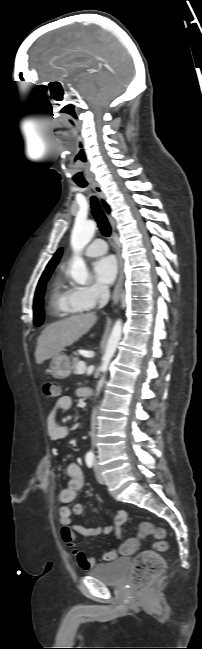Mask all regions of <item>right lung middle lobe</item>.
<instances>
[{
	"instance_id": "right-lung-middle-lobe-1",
	"label": "right lung middle lobe",
	"mask_w": 202,
	"mask_h": 649,
	"mask_svg": "<svg viewBox=\"0 0 202 649\" xmlns=\"http://www.w3.org/2000/svg\"><path fill=\"white\" fill-rule=\"evenodd\" d=\"M51 273L52 271L41 276L35 292L33 312H34V324L36 326L42 325L44 321L43 296L45 292L46 283L49 280Z\"/></svg>"
}]
</instances>
